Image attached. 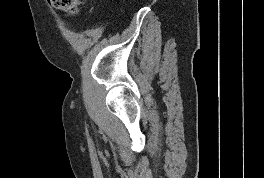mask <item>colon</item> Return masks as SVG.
I'll list each match as a JSON object with an SVG mask.
<instances>
[{
	"instance_id": "1",
	"label": "colon",
	"mask_w": 264,
	"mask_h": 178,
	"mask_svg": "<svg viewBox=\"0 0 264 178\" xmlns=\"http://www.w3.org/2000/svg\"><path fill=\"white\" fill-rule=\"evenodd\" d=\"M54 8L67 14H75L85 3V0H48Z\"/></svg>"
}]
</instances>
